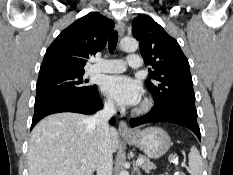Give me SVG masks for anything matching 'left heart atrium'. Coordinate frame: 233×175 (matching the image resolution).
I'll list each match as a JSON object with an SVG mask.
<instances>
[{
  "label": "left heart atrium",
  "instance_id": "1",
  "mask_svg": "<svg viewBox=\"0 0 233 175\" xmlns=\"http://www.w3.org/2000/svg\"><path fill=\"white\" fill-rule=\"evenodd\" d=\"M103 91L122 106L138 104L142 95L140 83L124 75L107 77L103 83Z\"/></svg>",
  "mask_w": 233,
  "mask_h": 175
}]
</instances>
